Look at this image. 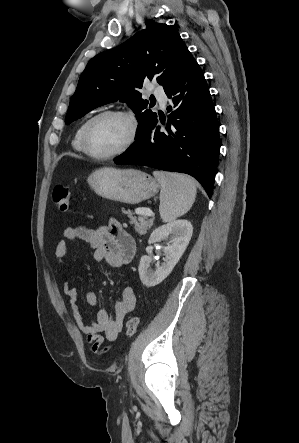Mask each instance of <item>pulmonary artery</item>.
Masks as SVG:
<instances>
[{"mask_svg":"<svg viewBox=\"0 0 299 443\" xmlns=\"http://www.w3.org/2000/svg\"><path fill=\"white\" fill-rule=\"evenodd\" d=\"M154 96L160 101L161 107L165 108L167 103V96L161 87H155L153 90Z\"/></svg>","mask_w":299,"mask_h":443,"instance_id":"obj_1","label":"pulmonary artery"}]
</instances>
